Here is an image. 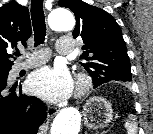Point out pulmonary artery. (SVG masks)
Returning a JSON list of instances; mask_svg holds the SVG:
<instances>
[{"label":"pulmonary artery","instance_id":"pulmonary-artery-1","mask_svg":"<svg viewBox=\"0 0 153 134\" xmlns=\"http://www.w3.org/2000/svg\"><path fill=\"white\" fill-rule=\"evenodd\" d=\"M74 49V42L70 37H61L56 43V50L59 54H70ZM49 58L47 50H40L30 55V57L23 62H19L14 67V72H19L23 69L39 66L46 62Z\"/></svg>","mask_w":153,"mask_h":134}]
</instances>
